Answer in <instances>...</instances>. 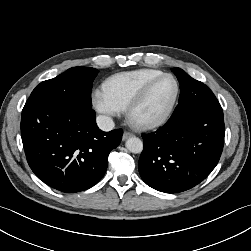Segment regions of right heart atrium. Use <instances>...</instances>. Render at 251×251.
<instances>
[{
	"mask_svg": "<svg viewBox=\"0 0 251 251\" xmlns=\"http://www.w3.org/2000/svg\"><path fill=\"white\" fill-rule=\"evenodd\" d=\"M92 104L95 110L106 120L121 113V109L108 97L103 89L93 91Z\"/></svg>",
	"mask_w": 251,
	"mask_h": 251,
	"instance_id": "right-heart-atrium-1",
	"label": "right heart atrium"
}]
</instances>
